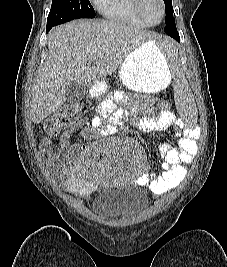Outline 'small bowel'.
<instances>
[{
    "label": "small bowel",
    "instance_id": "small-bowel-1",
    "mask_svg": "<svg viewBox=\"0 0 227 267\" xmlns=\"http://www.w3.org/2000/svg\"><path fill=\"white\" fill-rule=\"evenodd\" d=\"M118 96L111 94L104 98L96 108L93 118L87 122H81L65 131L62 135V147L60 157L63 158L67 169L65 188L77 195H87L93 191V183L88 176L84 160L81 161L78 151H72L68 147L69 135L78 129L85 139L104 137L115 133L119 129L117 108ZM147 114L135 121L136 128L142 133L171 129L179 137L178 145L168 142L159 144V157L162 163L158 174H143L140 183L148 187L153 193H166L176 188L186 175L185 165L191 163L198 150L197 133L193 130L185 132L179 119L169 111L154 112L142 108ZM41 151L46 160L53 163L56 158L51 145L43 142ZM58 156V157H59Z\"/></svg>",
    "mask_w": 227,
    "mask_h": 267
}]
</instances>
